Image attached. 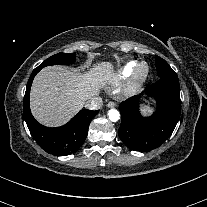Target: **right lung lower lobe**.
<instances>
[{"label":"right lung lower lobe","mask_w":207,"mask_h":207,"mask_svg":"<svg viewBox=\"0 0 207 207\" xmlns=\"http://www.w3.org/2000/svg\"><path fill=\"white\" fill-rule=\"evenodd\" d=\"M40 70L34 69L27 83L23 102L26 124L34 140L46 152L54 155L75 153L85 141L89 124L99 111L81 110L67 124L56 128L45 127L38 123L30 111L29 94L32 81Z\"/></svg>","instance_id":"right-lung-lower-lobe-1"}]
</instances>
